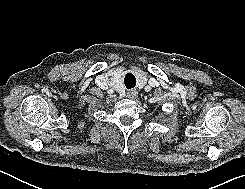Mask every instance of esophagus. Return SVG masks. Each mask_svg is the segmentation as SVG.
<instances>
[{
    "mask_svg": "<svg viewBox=\"0 0 245 189\" xmlns=\"http://www.w3.org/2000/svg\"><path fill=\"white\" fill-rule=\"evenodd\" d=\"M127 96L130 99H135V98L138 97V92L134 91V90H130V91L127 92Z\"/></svg>",
    "mask_w": 245,
    "mask_h": 189,
    "instance_id": "obj_1",
    "label": "esophagus"
}]
</instances>
